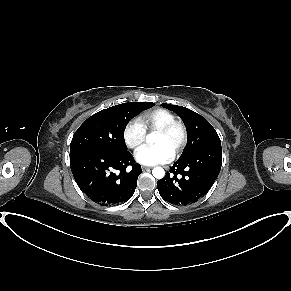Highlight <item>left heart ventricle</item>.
Returning a JSON list of instances; mask_svg holds the SVG:
<instances>
[{
	"mask_svg": "<svg viewBox=\"0 0 291 291\" xmlns=\"http://www.w3.org/2000/svg\"><path fill=\"white\" fill-rule=\"evenodd\" d=\"M177 137L178 135L176 133L171 136H166L160 133H156L153 142L155 145H160V144L165 145L173 151L174 144L177 140Z\"/></svg>",
	"mask_w": 291,
	"mask_h": 291,
	"instance_id": "left-heart-ventricle-1",
	"label": "left heart ventricle"
}]
</instances>
